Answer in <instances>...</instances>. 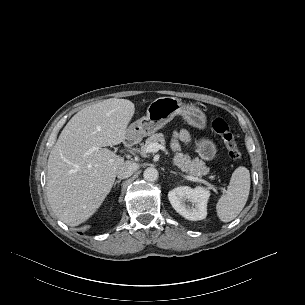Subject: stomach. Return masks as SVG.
Instances as JSON below:
<instances>
[{
    "label": "stomach",
    "instance_id": "stomach-1",
    "mask_svg": "<svg viewBox=\"0 0 305 305\" xmlns=\"http://www.w3.org/2000/svg\"><path fill=\"white\" fill-rule=\"evenodd\" d=\"M177 115H181L184 121L193 127L198 129L206 127V116L198 107L192 104H183L176 97H160L150 103L146 116L129 126L128 133L136 137L149 136ZM195 146L197 153L204 160H212L216 156V146L209 139L196 141Z\"/></svg>",
    "mask_w": 305,
    "mask_h": 305
}]
</instances>
